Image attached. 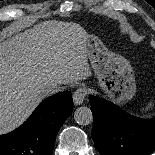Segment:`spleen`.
<instances>
[{
	"mask_svg": "<svg viewBox=\"0 0 155 155\" xmlns=\"http://www.w3.org/2000/svg\"><path fill=\"white\" fill-rule=\"evenodd\" d=\"M153 105H154V103H153V100H152V101H150V103L145 108H143L141 110V113H146L148 110H150V108L153 107Z\"/></svg>",
	"mask_w": 155,
	"mask_h": 155,
	"instance_id": "obj_1",
	"label": "spleen"
}]
</instances>
